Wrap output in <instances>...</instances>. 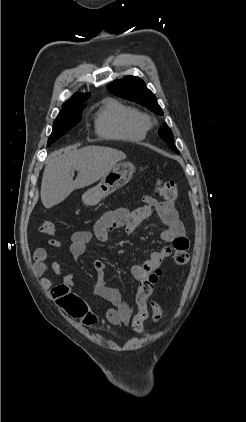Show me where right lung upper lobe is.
<instances>
[{
    "instance_id": "obj_1",
    "label": "right lung upper lobe",
    "mask_w": 246,
    "mask_h": 422,
    "mask_svg": "<svg viewBox=\"0 0 246 422\" xmlns=\"http://www.w3.org/2000/svg\"><path fill=\"white\" fill-rule=\"evenodd\" d=\"M88 97H89V94L76 93L72 96L70 100L65 102L62 107L86 105L84 104V101H86Z\"/></svg>"
}]
</instances>
